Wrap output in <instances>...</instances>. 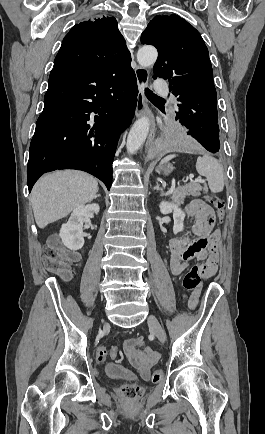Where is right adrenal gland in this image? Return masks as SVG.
Instances as JSON below:
<instances>
[{"label": "right adrenal gland", "mask_w": 265, "mask_h": 434, "mask_svg": "<svg viewBox=\"0 0 265 434\" xmlns=\"http://www.w3.org/2000/svg\"><path fill=\"white\" fill-rule=\"evenodd\" d=\"M98 196H101V194H96V196H94V200H96V198H98Z\"/></svg>", "instance_id": "2a0ac1e0"}]
</instances>
